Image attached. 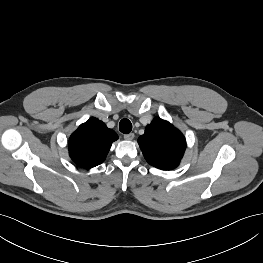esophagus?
<instances>
[{"instance_id": "34e87169", "label": "esophagus", "mask_w": 263, "mask_h": 263, "mask_svg": "<svg viewBox=\"0 0 263 263\" xmlns=\"http://www.w3.org/2000/svg\"><path fill=\"white\" fill-rule=\"evenodd\" d=\"M133 138H134V133H129L124 135L125 140L131 141L133 140Z\"/></svg>"}]
</instances>
